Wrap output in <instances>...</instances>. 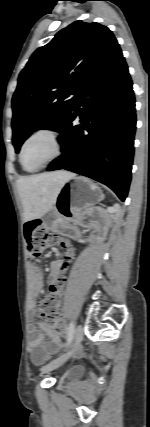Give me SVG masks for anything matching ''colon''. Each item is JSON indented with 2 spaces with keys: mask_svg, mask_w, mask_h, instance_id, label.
I'll return each instance as SVG.
<instances>
[{
  "mask_svg": "<svg viewBox=\"0 0 150 427\" xmlns=\"http://www.w3.org/2000/svg\"><path fill=\"white\" fill-rule=\"evenodd\" d=\"M25 237L27 240V256L30 260L37 259L43 250L53 241L54 236L42 224L40 220H32L25 225ZM65 278H60L56 285L49 289V293L39 302L38 312L43 326L60 332L63 328L60 306L59 289H63Z\"/></svg>",
  "mask_w": 150,
  "mask_h": 427,
  "instance_id": "1",
  "label": "colon"
}]
</instances>
